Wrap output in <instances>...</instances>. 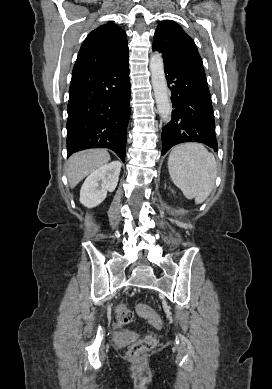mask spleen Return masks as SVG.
Listing matches in <instances>:
<instances>
[{
    "mask_svg": "<svg viewBox=\"0 0 272 389\" xmlns=\"http://www.w3.org/2000/svg\"><path fill=\"white\" fill-rule=\"evenodd\" d=\"M168 170L174 184L187 199L202 203L211 193L217 165L212 153L201 144L185 143L176 146L168 159Z\"/></svg>",
    "mask_w": 272,
    "mask_h": 389,
    "instance_id": "obj_1",
    "label": "spleen"
}]
</instances>
